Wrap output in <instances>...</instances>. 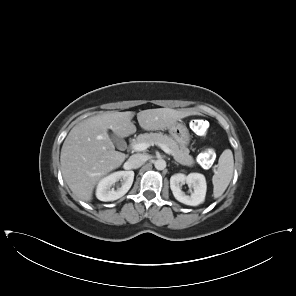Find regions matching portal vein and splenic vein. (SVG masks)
<instances>
[{"mask_svg":"<svg viewBox=\"0 0 296 296\" xmlns=\"http://www.w3.org/2000/svg\"><path fill=\"white\" fill-rule=\"evenodd\" d=\"M151 145L149 143H137L133 145V149L135 151H144L149 148ZM158 146L167 154L172 155V151L164 144H158Z\"/></svg>","mask_w":296,"mask_h":296,"instance_id":"1","label":"portal vein and splenic vein"}]
</instances>
